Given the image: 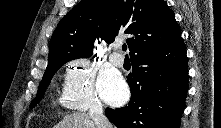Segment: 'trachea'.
Instances as JSON below:
<instances>
[{"label": "trachea", "instance_id": "obj_1", "mask_svg": "<svg viewBox=\"0 0 221 128\" xmlns=\"http://www.w3.org/2000/svg\"><path fill=\"white\" fill-rule=\"evenodd\" d=\"M122 50H123V51H126V50H127L126 44H123V45H122ZM126 57H127V56H126Z\"/></svg>", "mask_w": 221, "mask_h": 128}]
</instances>
